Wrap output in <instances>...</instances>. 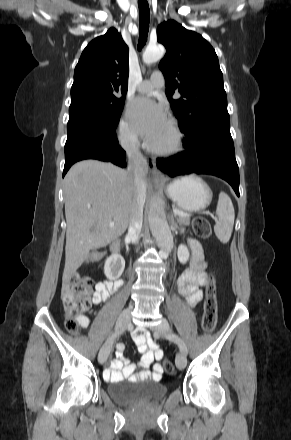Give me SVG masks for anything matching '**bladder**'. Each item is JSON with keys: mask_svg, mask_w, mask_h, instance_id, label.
I'll list each match as a JSON object with an SVG mask.
<instances>
[{"mask_svg": "<svg viewBox=\"0 0 291 440\" xmlns=\"http://www.w3.org/2000/svg\"><path fill=\"white\" fill-rule=\"evenodd\" d=\"M108 391L116 402L130 405L159 401L165 396L167 388L155 382L119 380L111 383Z\"/></svg>", "mask_w": 291, "mask_h": 440, "instance_id": "obj_1", "label": "bladder"}]
</instances>
